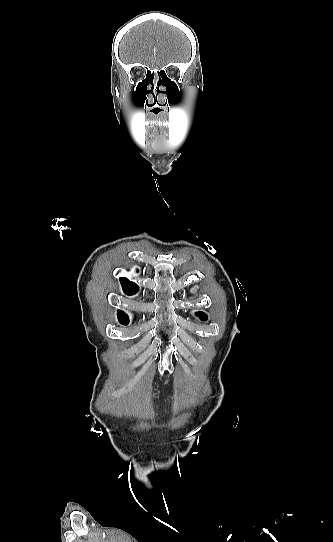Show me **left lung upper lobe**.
<instances>
[{"label":"left lung upper lobe","instance_id":"1","mask_svg":"<svg viewBox=\"0 0 333 542\" xmlns=\"http://www.w3.org/2000/svg\"><path fill=\"white\" fill-rule=\"evenodd\" d=\"M196 315L199 316L200 319L203 320V321L207 320V315H205L202 312H198V313H196Z\"/></svg>","mask_w":333,"mask_h":542}]
</instances>
